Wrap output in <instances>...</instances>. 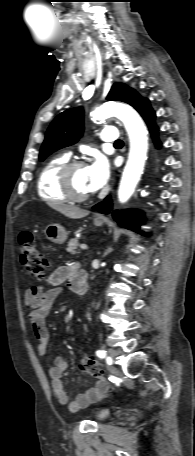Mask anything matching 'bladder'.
I'll use <instances>...</instances> for the list:
<instances>
[{
  "label": "bladder",
  "instance_id": "1",
  "mask_svg": "<svg viewBox=\"0 0 195 456\" xmlns=\"http://www.w3.org/2000/svg\"><path fill=\"white\" fill-rule=\"evenodd\" d=\"M108 417H109V412L106 411V410L100 411V412L98 413V415H97V419H98L99 421H104V420H106Z\"/></svg>",
  "mask_w": 195,
  "mask_h": 456
}]
</instances>
